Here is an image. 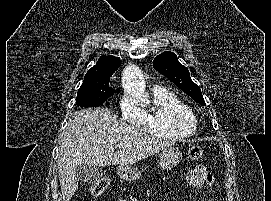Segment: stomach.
Masks as SVG:
<instances>
[{"label":"stomach","mask_w":271,"mask_h":201,"mask_svg":"<svg viewBox=\"0 0 271 201\" xmlns=\"http://www.w3.org/2000/svg\"><path fill=\"white\" fill-rule=\"evenodd\" d=\"M182 154L177 147H167L159 155V166L161 170H169L181 161ZM117 173L125 181H135L141 177V171L131 165H120Z\"/></svg>","instance_id":"1"}]
</instances>
